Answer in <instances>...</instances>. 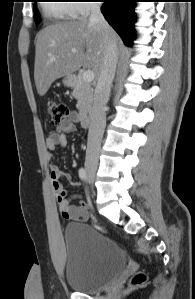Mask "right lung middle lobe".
Returning a JSON list of instances; mask_svg holds the SVG:
<instances>
[{"mask_svg":"<svg viewBox=\"0 0 195 299\" xmlns=\"http://www.w3.org/2000/svg\"><path fill=\"white\" fill-rule=\"evenodd\" d=\"M34 12H35V22L39 23L40 22V18H39L38 14H37V11H36V5H34Z\"/></svg>","mask_w":195,"mask_h":299,"instance_id":"1","label":"right lung middle lobe"}]
</instances>
